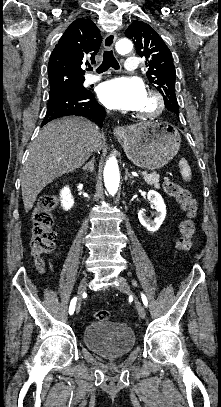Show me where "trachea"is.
Masks as SVG:
<instances>
[{"mask_svg":"<svg viewBox=\"0 0 221 407\" xmlns=\"http://www.w3.org/2000/svg\"><path fill=\"white\" fill-rule=\"evenodd\" d=\"M110 67L114 68V69H119V64L116 60V58L113 55V52L111 50L109 51H105L103 54V62L102 64L98 67L97 72L98 73H103L105 71H107ZM89 71H92L93 68L89 66V68L87 69Z\"/></svg>","mask_w":221,"mask_h":407,"instance_id":"trachea-1","label":"trachea"}]
</instances>
